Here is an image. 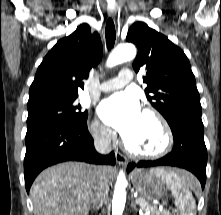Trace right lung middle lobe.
<instances>
[{"label":"right lung middle lobe","instance_id":"1","mask_svg":"<svg viewBox=\"0 0 221 215\" xmlns=\"http://www.w3.org/2000/svg\"><path fill=\"white\" fill-rule=\"evenodd\" d=\"M76 99L51 101L28 106L27 129L52 120H64L81 123L87 120V111H81Z\"/></svg>","mask_w":221,"mask_h":215}]
</instances>
